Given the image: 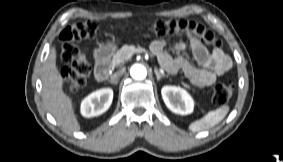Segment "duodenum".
<instances>
[{
  "label": "duodenum",
  "instance_id": "obj_1",
  "mask_svg": "<svg viewBox=\"0 0 283 162\" xmlns=\"http://www.w3.org/2000/svg\"><path fill=\"white\" fill-rule=\"evenodd\" d=\"M95 60V77L98 81H105L110 72V52L106 49L98 50Z\"/></svg>",
  "mask_w": 283,
  "mask_h": 162
}]
</instances>
